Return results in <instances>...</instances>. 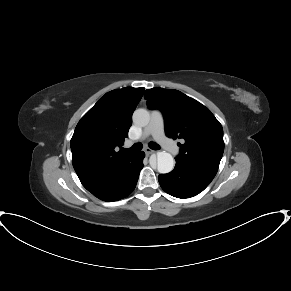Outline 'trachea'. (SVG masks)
<instances>
[{
    "label": "trachea",
    "mask_w": 291,
    "mask_h": 291,
    "mask_svg": "<svg viewBox=\"0 0 291 291\" xmlns=\"http://www.w3.org/2000/svg\"><path fill=\"white\" fill-rule=\"evenodd\" d=\"M149 147L152 150H159L160 149V146L156 142H150ZM141 149H142V145L136 143L131 148H123L122 150L124 152H137V151H140Z\"/></svg>",
    "instance_id": "1"
}]
</instances>
